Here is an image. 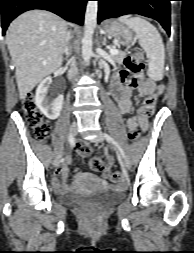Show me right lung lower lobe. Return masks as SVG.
Masks as SVG:
<instances>
[{
  "label": "right lung lower lobe",
  "instance_id": "right-lung-lower-lobe-1",
  "mask_svg": "<svg viewBox=\"0 0 194 253\" xmlns=\"http://www.w3.org/2000/svg\"><path fill=\"white\" fill-rule=\"evenodd\" d=\"M2 8V30L5 34L10 22L19 14L32 10L51 11L67 21L83 24L87 0H0Z\"/></svg>",
  "mask_w": 194,
  "mask_h": 253
}]
</instances>
